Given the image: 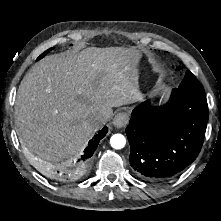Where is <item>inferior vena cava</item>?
Segmentation results:
<instances>
[{
	"instance_id": "inferior-vena-cava-1",
	"label": "inferior vena cava",
	"mask_w": 221,
	"mask_h": 221,
	"mask_svg": "<svg viewBox=\"0 0 221 221\" xmlns=\"http://www.w3.org/2000/svg\"><path fill=\"white\" fill-rule=\"evenodd\" d=\"M89 123L94 129H99L105 123V116L103 113L95 112L90 115Z\"/></svg>"
}]
</instances>
